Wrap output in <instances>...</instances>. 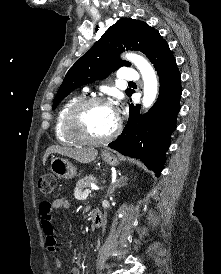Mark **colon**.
Segmentation results:
<instances>
[{"label": "colon", "instance_id": "colon-1", "mask_svg": "<svg viewBox=\"0 0 221 274\" xmlns=\"http://www.w3.org/2000/svg\"><path fill=\"white\" fill-rule=\"evenodd\" d=\"M56 187V178L54 175L48 173L43 175L39 180L40 191L48 196L51 195Z\"/></svg>", "mask_w": 221, "mask_h": 274}]
</instances>
